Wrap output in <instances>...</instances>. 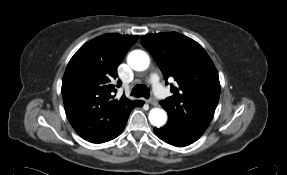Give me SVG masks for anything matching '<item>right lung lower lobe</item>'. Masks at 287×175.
Here are the masks:
<instances>
[{"instance_id":"right-lung-lower-lobe-1","label":"right lung lower lobe","mask_w":287,"mask_h":175,"mask_svg":"<svg viewBox=\"0 0 287 175\" xmlns=\"http://www.w3.org/2000/svg\"><path fill=\"white\" fill-rule=\"evenodd\" d=\"M144 104V102H140L137 106L140 107ZM130 113L121 121V123L106 137H104L103 139H101L100 141L96 142V143H104L107 141H110L114 138H116L118 135L121 134V132L123 131V129L125 128V125L127 123L128 117H129Z\"/></svg>"}]
</instances>
